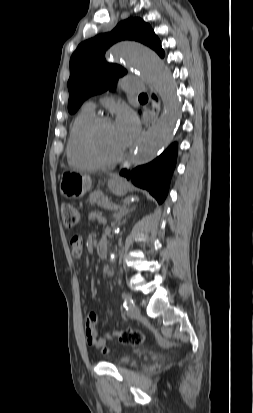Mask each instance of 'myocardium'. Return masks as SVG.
I'll use <instances>...</instances> for the list:
<instances>
[{
	"instance_id": "myocardium-1",
	"label": "myocardium",
	"mask_w": 253,
	"mask_h": 413,
	"mask_svg": "<svg viewBox=\"0 0 253 413\" xmlns=\"http://www.w3.org/2000/svg\"><path fill=\"white\" fill-rule=\"evenodd\" d=\"M107 123H111V120L108 117L95 116L86 126L84 135H83L84 146H85L87 154L99 166L115 165L119 163L125 155L124 149H122L114 157H104L98 152L96 145H95V134L101 125L107 124Z\"/></svg>"
}]
</instances>
